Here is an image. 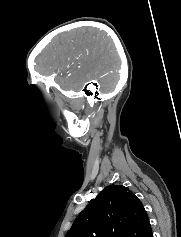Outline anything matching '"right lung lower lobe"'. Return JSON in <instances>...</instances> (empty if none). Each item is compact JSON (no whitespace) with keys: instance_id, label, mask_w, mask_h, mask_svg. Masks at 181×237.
I'll return each instance as SVG.
<instances>
[{"instance_id":"98d812e1","label":"right lung lower lobe","mask_w":181,"mask_h":237,"mask_svg":"<svg viewBox=\"0 0 181 237\" xmlns=\"http://www.w3.org/2000/svg\"><path fill=\"white\" fill-rule=\"evenodd\" d=\"M148 237H153V234L151 233Z\"/></svg>"}]
</instances>
